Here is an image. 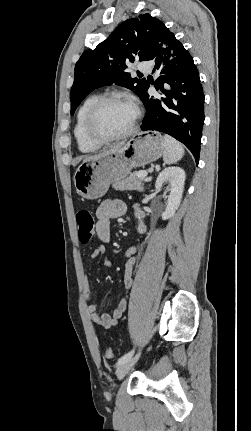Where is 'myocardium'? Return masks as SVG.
Here are the masks:
<instances>
[{"instance_id":"myocardium-1","label":"myocardium","mask_w":251,"mask_h":431,"mask_svg":"<svg viewBox=\"0 0 251 431\" xmlns=\"http://www.w3.org/2000/svg\"><path fill=\"white\" fill-rule=\"evenodd\" d=\"M112 101L130 102L135 108V118L132 125L126 131L117 135L105 136V135L99 134L96 131L95 120L100 110L103 108V106ZM141 117H142L141 108L133 99L120 93H108L99 97L89 109L84 123L85 134L90 141L98 144H106V143L122 140L129 137L136 131V129L138 128L139 122L141 120Z\"/></svg>"}]
</instances>
